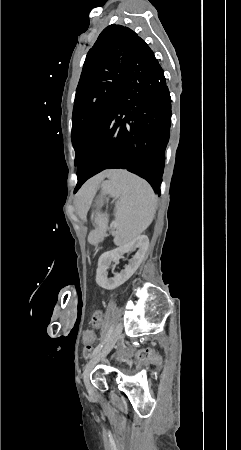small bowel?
Here are the masks:
<instances>
[{
  "label": "small bowel",
  "instance_id": "c3829d8e",
  "mask_svg": "<svg viewBox=\"0 0 241 450\" xmlns=\"http://www.w3.org/2000/svg\"><path fill=\"white\" fill-rule=\"evenodd\" d=\"M89 324L94 325L96 329H99L102 324V317L101 316H90L89 317ZM84 338V336H83Z\"/></svg>",
  "mask_w": 241,
  "mask_h": 450
}]
</instances>
